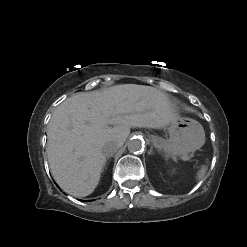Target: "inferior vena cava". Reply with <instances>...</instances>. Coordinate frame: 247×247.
<instances>
[{"label": "inferior vena cava", "mask_w": 247, "mask_h": 247, "mask_svg": "<svg viewBox=\"0 0 247 247\" xmlns=\"http://www.w3.org/2000/svg\"><path fill=\"white\" fill-rule=\"evenodd\" d=\"M120 147L121 146L119 143L110 141L103 145L102 152L106 157H111L118 151Z\"/></svg>", "instance_id": "1"}]
</instances>
